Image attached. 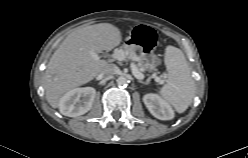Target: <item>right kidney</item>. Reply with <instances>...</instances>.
I'll return each instance as SVG.
<instances>
[{"instance_id":"right-kidney-1","label":"right kidney","mask_w":248,"mask_h":158,"mask_svg":"<svg viewBox=\"0 0 248 158\" xmlns=\"http://www.w3.org/2000/svg\"><path fill=\"white\" fill-rule=\"evenodd\" d=\"M95 95L96 90L93 87L72 89L61 98L59 110L68 117L83 115L91 109Z\"/></svg>"}]
</instances>
